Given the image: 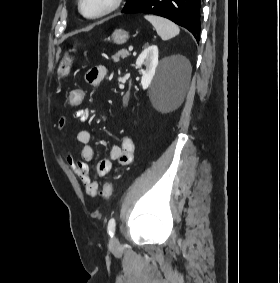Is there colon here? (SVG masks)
<instances>
[{"label": "colon", "mask_w": 280, "mask_h": 283, "mask_svg": "<svg viewBox=\"0 0 280 283\" xmlns=\"http://www.w3.org/2000/svg\"><path fill=\"white\" fill-rule=\"evenodd\" d=\"M67 98L70 111L74 112L75 108H80V105H83V102H85L86 94L84 92V87H73V90H69ZM112 191V184L110 182H107L103 187L102 197L105 200L109 199Z\"/></svg>", "instance_id": "obj_1"}]
</instances>
